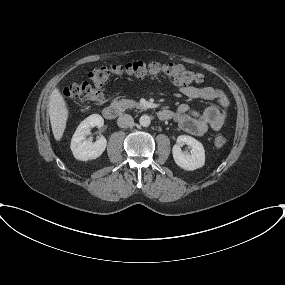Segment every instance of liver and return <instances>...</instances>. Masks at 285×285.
Masks as SVG:
<instances>
[{
	"label": "liver",
	"instance_id": "6515ba94",
	"mask_svg": "<svg viewBox=\"0 0 285 285\" xmlns=\"http://www.w3.org/2000/svg\"><path fill=\"white\" fill-rule=\"evenodd\" d=\"M68 109L63 95L55 88L49 99V115L52 132L56 141H60L68 120Z\"/></svg>",
	"mask_w": 285,
	"mask_h": 285
}]
</instances>
